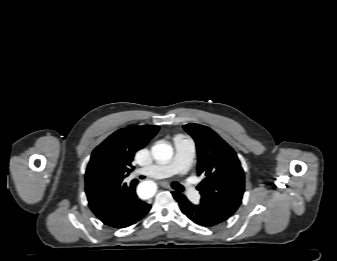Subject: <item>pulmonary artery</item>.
I'll use <instances>...</instances> for the list:
<instances>
[{
  "instance_id": "pulmonary-artery-1",
  "label": "pulmonary artery",
  "mask_w": 337,
  "mask_h": 261,
  "mask_svg": "<svg viewBox=\"0 0 337 261\" xmlns=\"http://www.w3.org/2000/svg\"><path fill=\"white\" fill-rule=\"evenodd\" d=\"M195 154L194 142L190 139L175 140V157L167 165H151L141 168L137 173L149 176L151 178H165L172 174L184 172L192 162ZM185 190L188 197L197 201L199 199L198 191L188 182L185 183Z\"/></svg>"
}]
</instances>
